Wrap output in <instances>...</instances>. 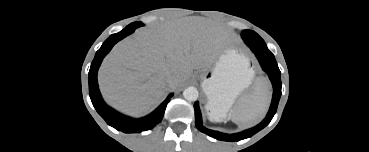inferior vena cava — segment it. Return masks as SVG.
<instances>
[{
    "mask_svg": "<svg viewBox=\"0 0 369 152\" xmlns=\"http://www.w3.org/2000/svg\"><path fill=\"white\" fill-rule=\"evenodd\" d=\"M167 82L169 83V84H172V82H173V77L171 76V75H169L168 77H167Z\"/></svg>",
    "mask_w": 369,
    "mask_h": 152,
    "instance_id": "obj_1",
    "label": "inferior vena cava"
}]
</instances>
